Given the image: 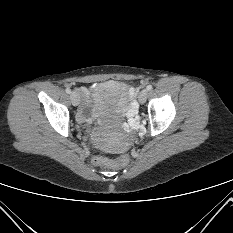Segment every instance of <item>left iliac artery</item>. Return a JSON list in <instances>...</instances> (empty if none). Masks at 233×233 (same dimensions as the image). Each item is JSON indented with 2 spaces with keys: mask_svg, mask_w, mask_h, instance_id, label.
<instances>
[{
  "mask_svg": "<svg viewBox=\"0 0 233 233\" xmlns=\"http://www.w3.org/2000/svg\"><path fill=\"white\" fill-rule=\"evenodd\" d=\"M151 89H152V85L149 84V85L147 86V90L150 91Z\"/></svg>",
  "mask_w": 233,
  "mask_h": 233,
  "instance_id": "1",
  "label": "left iliac artery"
}]
</instances>
